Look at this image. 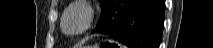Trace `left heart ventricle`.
I'll return each instance as SVG.
<instances>
[{"instance_id":"obj_1","label":"left heart ventricle","mask_w":213,"mask_h":48,"mask_svg":"<svg viewBox=\"0 0 213 48\" xmlns=\"http://www.w3.org/2000/svg\"><path fill=\"white\" fill-rule=\"evenodd\" d=\"M85 25V14L80 9H73L65 19V28L68 32H77Z\"/></svg>"}]
</instances>
